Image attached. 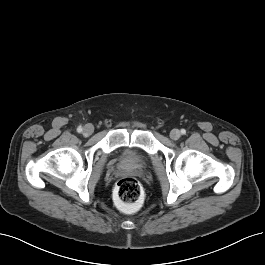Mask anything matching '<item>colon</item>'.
<instances>
[{
	"label": "colon",
	"mask_w": 265,
	"mask_h": 265,
	"mask_svg": "<svg viewBox=\"0 0 265 265\" xmlns=\"http://www.w3.org/2000/svg\"><path fill=\"white\" fill-rule=\"evenodd\" d=\"M142 193L140 183L132 177L120 179L114 190L115 198L122 206L136 205L140 202Z\"/></svg>",
	"instance_id": "1"
}]
</instances>
